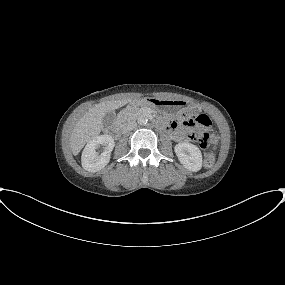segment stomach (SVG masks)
Returning <instances> with one entry per match:
<instances>
[{
  "instance_id": "stomach-1",
  "label": "stomach",
  "mask_w": 285,
  "mask_h": 285,
  "mask_svg": "<svg viewBox=\"0 0 285 285\" xmlns=\"http://www.w3.org/2000/svg\"><path fill=\"white\" fill-rule=\"evenodd\" d=\"M138 105L150 107L161 113H176L177 111L190 107L189 103L185 100L158 99L153 97L138 101Z\"/></svg>"
}]
</instances>
